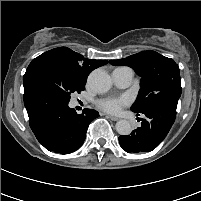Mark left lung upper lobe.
Listing matches in <instances>:
<instances>
[{
	"mask_svg": "<svg viewBox=\"0 0 201 201\" xmlns=\"http://www.w3.org/2000/svg\"><path fill=\"white\" fill-rule=\"evenodd\" d=\"M110 63L130 66L142 77L141 89L131 107L132 111L143 113L162 104L177 107L181 96V80L179 67L173 59L147 50Z\"/></svg>",
	"mask_w": 201,
	"mask_h": 201,
	"instance_id": "1",
	"label": "left lung upper lobe"
}]
</instances>
